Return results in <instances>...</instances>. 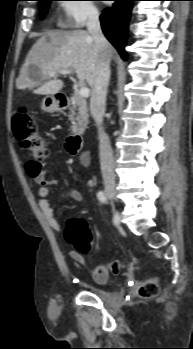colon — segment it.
I'll return each mask as SVG.
<instances>
[{
	"mask_svg": "<svg viewBox=\"0 0 193 349\" xmlns=\"http://www.w3.org/2000/svg\"><path fill=\"white\" fill-rule=\"evenodd\" d=\"M13 131L21 147L40 163L50 154L49 143L40 135V129L35 119L27 112L20 111L13 117ZM67 240L79 251L87 253L90 249L91 234L85 221L72 220L66 231ZM159 292L156 281L145 283L139 290L142 297L152 298Z\"/></svg>",
	"mask_w": 193,
	"mask_h": 349,
	"instance_id": "1",
	"label": "colon"
}]
</instances>
